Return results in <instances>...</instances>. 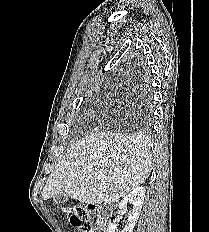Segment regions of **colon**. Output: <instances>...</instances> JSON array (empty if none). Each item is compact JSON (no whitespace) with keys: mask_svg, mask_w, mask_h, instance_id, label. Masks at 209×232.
<instances>
[{"mask_svg":"<svg viewBox=\"0 0 209 232\" xmlns=\"http://www.w3.org/2000/svg\"><path fill=\"white\" fill-rule=\"evenodd\" d=\"M95 208L77 207L70 212V224L80 232H92Z\"/></svg>","mask_w":209,"mask_h":232,"instance_id":"obj_1","label":"colon"}]
</instances>
